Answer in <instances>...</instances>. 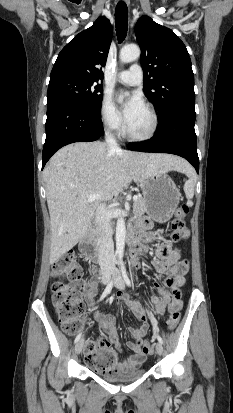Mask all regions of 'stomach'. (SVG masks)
<instances>
[{"mask_svg":"<svg viewBox=\"0 0 233 413\" xmlns=\"http://www.w3.org/2000/svg\"><path fill=\"white\" fill-rule=\"evenodd\" d=\"M140 187L147 203V214L156 222L168 221L180 200L174 181L166 173L158 172L145 178Z\"/></svg>","mask_w":233,"mask_h":413,"instance_id":"1","label":"stomach"}]
</instances>
